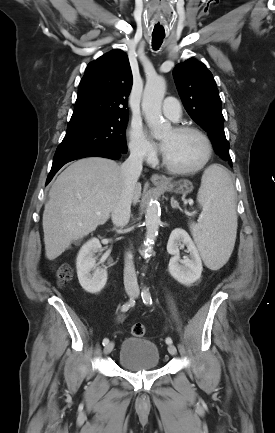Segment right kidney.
Here are the masks:
<instances>
[{
	"instance_id": "1",
	"label": "right kidney",
	"mask_w": 275,
	"mask_h": 433,
	"mask_svg": "<svg viewBox=\"0 0 275 433\" xmlns=\"http://www.w3.org/2000/svg\"><path fill=\"white\" fill-rule=\"evenodd\" d=\"M101 250V244L97 238H92L80 249L76 268L79 283L84 290L90 293L100 292L107 282V271L96 268L95 253ZM94 270L91 274L90 272Z\"/></svg>"
}]
</instances>
